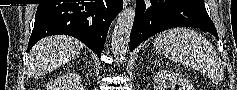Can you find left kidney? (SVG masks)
I'll return each instance as SVG.
<instances>
[{"label":"left kidney","mask_w":237,"mask_h":90,"mask_svg":"<svg viewBox=\"0 0 237 90\" xmlns=\"http://www.w3.org/2000/svg\"><path fill=\"white\" fill-rule=\"evenodd\" d=\"M153 80L154 90H194L189 80L169 70H159Z\"/></svg>","instance_id":"1"}]
</instances>
